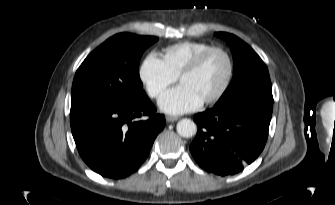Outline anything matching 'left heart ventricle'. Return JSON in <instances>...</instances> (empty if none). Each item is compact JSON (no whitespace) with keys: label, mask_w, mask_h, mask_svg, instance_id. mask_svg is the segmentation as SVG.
<instances>
[{"label":"left heart ventricle","mask_w":335,"mask_h":205,"mask_svg":"<svg viewBox=\"0 0 335 205\" xmlns=\"http://www.w3.org/2000/svg\"><path fill=\"white\" fill-rule=\"evenodd\" d=\"M228 72L225 56L212 53L195 73L185 76L181 84L188 86L202 101L213 96L222 86Z\"/></svg>","instance_id":"1"}]
</instances>
